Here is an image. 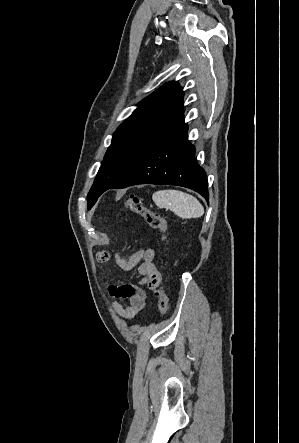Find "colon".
Wrapping results in <instances>:
<instances>
[{"label":"colon","instance_id":"5ec220e1","mask_svg":"<svg viewBox=\"0 0 299 443\" xmlns=\"http://www.w3.org/2000/svg\"><path fill=\"white\" fill-rule=\"evenodd\" d=\"M124 208L127 211L142 217L151 228L160 230L162 233V242L165 244L167 223L160 214L147 208L138 195H130L124 202ZM154 295L157 297L159 302V315L163 316L168 310L167 297L160 287L154 290Z\"/></svg>","mask_w":299,"mask_h":443}]
</instances>
